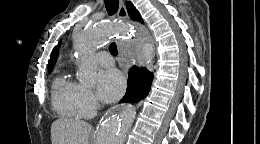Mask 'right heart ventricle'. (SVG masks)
Here are the masks:
<instances>
[{
  "instance_id": "obj_1",
  "label": "right heart ventricle",
  "mask_w": 260,
  "mask_h": 144,
  "mask_svg": "<svg viewBox=\"0 0 260 144\" xmlns=\"http://www.w3.org/2000/svg\"><path fill=\"white\" fill-rule=\"evenodd\" d=\"M79 89L80 85L67 75H60L54 80L52 104L59 115L65 118L85 116L78 100Z\"/></svg>"
}]
</instances>
